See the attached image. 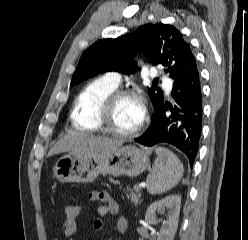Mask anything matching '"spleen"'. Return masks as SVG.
Segmentation results:
<instances>
[{"label":"spleen","instance_id":"1","mask_svg":"<svg viewBox=\"0 0 248 240\" xmlns=\"http://www.w3.org/2000/svg\"><path fill=\"white\" fill-rule=\"evenodd\" d=\"M157 158L152 171L147 176V191L152 194H162L176 186L184 172L183 165L177 156L164 147H156Z\"/></svg>","mask_w":248,"mask_h":240}]
</instances>
